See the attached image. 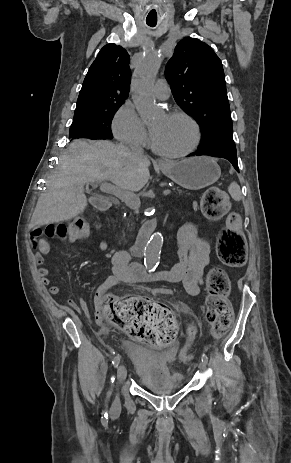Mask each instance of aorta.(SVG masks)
Wrapping results in <instances>:
<instances>
[{
	"label": "aorta",
	"instance_id": "obj_1",
	"mask_svg": "<svg viewBox=\"0 0 291 463\" xmlns=\"http://www.w3.org/2000/svg\"><path fill=\"white\" fill-rule=\"evenodd\" d=\"M161 62L156 51H149L135 69L131 86L132 99L142 119H149L156 112L153 87ZM162 245V234L154 233L145 249L144 263L149 271H153L158 266Z\"/></svg>",
	"mask_w": 291,
	"mask_h": 463
}]
</instances>
